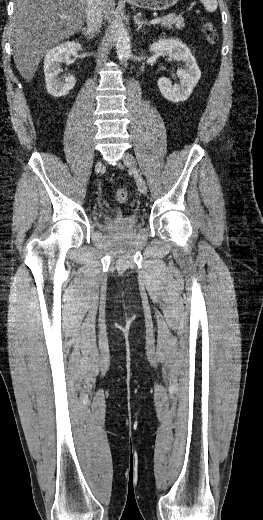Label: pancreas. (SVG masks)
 Here are the masks:
<instances>
[{
  "label": "pancreas",
  "instance_id": "cf45deb5",
  "mask_svg": "<svg viewBox=\"0 0 263 520\" xmlns=\"http://www.w3.org/2000/svg\"><path fill=\"white\" fill-rule=\"evenodd\" d=\"M159 23L162 27H167L169 29H173L175 27L176 29L181 30L185 26L184 18L175 14H169L160 18Z\"/></svg>",
  "mask_w": 263,
  "mask_h": 520
}]
</instances>
